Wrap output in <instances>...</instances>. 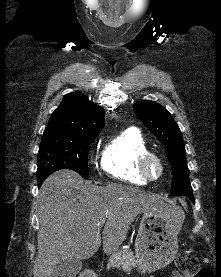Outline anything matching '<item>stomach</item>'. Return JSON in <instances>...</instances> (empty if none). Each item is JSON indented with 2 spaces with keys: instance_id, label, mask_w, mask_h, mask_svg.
Segmentation results:
<instances>
[{
  "instance_id": "0dacf381",
  "label": "stomach",
  "mask_w": 221,
  "mask_h": 277,
  "mask_svg": "<svg viewBox=\"0 0 221 277\" xmlns=\"http://www.w3.org/2000/svg\"><path fill=\"white\" fill-rule=\"evenodd\" d=\"M183 220V211L172 206L167 212L143 214L135 241V263L140 273L154 272L173 261Z\"/></svg>"
}]
</instances>
